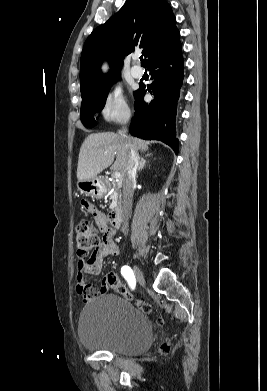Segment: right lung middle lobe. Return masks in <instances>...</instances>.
I'll return each instance as SVG.
<instances>
[{
  "mask_svg": "<svg viewBox=\"0 0 267 391\" xmlns=\"http://www.w3.org/2000/svg\"><path fill=\"white\" fill-rule=\"evenodd\" d=\"M119 78L120 73L113 74L101 81L97 86L81 94L82 103L80 118L86 127L95 126V119L93 115L103 109L111 86L119 80Z\"/></svg>",
  "mask_w": 267,
  "mask_h": 391,
  "instance_id": "1",
  "label": "right lung middle lobe"
}]
</instances>
